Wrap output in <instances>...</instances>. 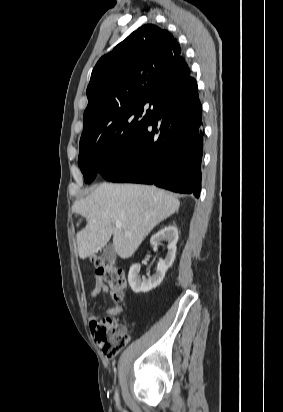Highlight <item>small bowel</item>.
I'll list each match as a JSON object with an SVG mask.
<instances>
[{"label": "small bowel", "instance_id": "obj_1", "mask_svg": "<svg viewBox=\"0 0 283 412\" xmlns=\"http://www.w3.org/2000/svg\"><path fill=\"white\" fill-rule=\"evenodd\" d=\"M105 291H107V287H106L104 281L102 279H96L95 282H94L93 289L90 293V297L95 298L101 292H105ZM122 311H123V309L121 307H115V308L109 309L107 311V313L112 315V314L121 313ZM88 319H89L90 324H92L94 321H96L98 319V315L96 313H94L93 311H90L88 313Z\"/></svg>", "mask_w": 283, "mask_h": 412}]
</instances>
